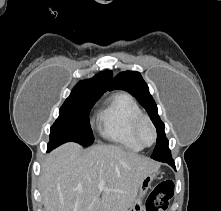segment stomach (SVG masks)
I'll return each instance as SVG.
<instances>
[{"instance_id":"1","label":"stomach","mask_w":221,"mask_h":211,"mask_svg":"<svg viewBox=\"0 0 221 211\" xmlns=\"http://www.w3.org/2000/svg\"><path fill=\"white\" fill-rule=\"evenodd\" d=\"M162 174V169L158 167L156 170L150 171L144 175L141 179L135 200L128 211H145V206L142 202L143 198L145 197L148 189L151 188L153 181Z\"/></svg>"}]
</instances>
